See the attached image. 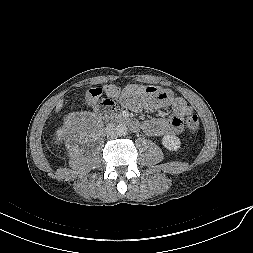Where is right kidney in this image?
I'll return each mask as SVG.
<instances>
[{
    "instance_id": "right-kidney-1",
    "label": "right kidney",
    "mask_w": 253,
    "mask_h": 253,
    "mask_svg": "<svg viewBox=\"0 0 253 253\" xmlns=\"http://www.w3.org/2000/svg\"><path fill=\"white\" fill-rule=\"evenodd\" d=\"M62 137H63V130H59L58 132H57V141L56 142H58V141H60L61 139H62Z\"/></svg>"
}]
</instances>
